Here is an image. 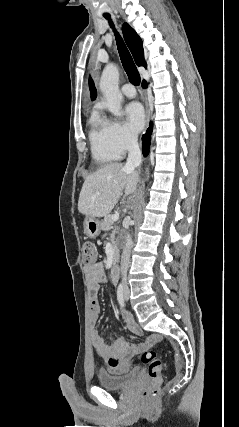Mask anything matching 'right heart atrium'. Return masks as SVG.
<instances>
[{
	"label": "right heart atrium",
	"mask_w": 239,
	"mask_h": 427,
	"mask_svg": "<svg viewBox=\"0 0 239 427\" xmlns=\"http://www.w3.org/2000/svg\"><path fill=\"white\" fill-rule=\"evenodd\" d=\"M105 130L110 145L119 156L125 155L136 146V138L116 120H105Z\"/></svg>",
	"instance_id": "right-heart-atrium-1"
}]
</instances>
